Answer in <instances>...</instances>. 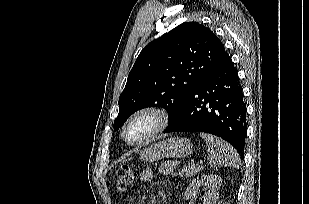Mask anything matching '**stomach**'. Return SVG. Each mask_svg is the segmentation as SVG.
<instances>
[{
    "instance_id": "stomach-1",
    "label": "stomach",
    "mask_w": 309,
    "mask_h": 204,
    "mask_svg": "<svg viewBox=\"0 0 309 204\" xmlns=\"http://www.w3.org/2000/svg\"><path fill=\"white\" fill-rule=\"evenodd\" d=\"M193 152V144L186 138H170L153 143L140 153V159L153 162L163 158H184Z\"/></svg>"
}]
</instances>
